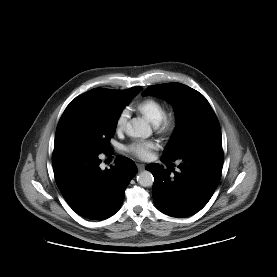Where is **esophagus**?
I'll list each match as a JSON object with an SVG mask.
<instances>
[{
	"label": "esophagus",
	"instance_id": "1",
	"mask_svg": "<svg viewBox=\"0 0 277 277\" xmlns=\"http://www.w3.org/2000/svg\"><path fill=\"white\" fill-rule=\"evenodd\" d=\"M137 167L139 170H144L145 165L144 164H137Z\"/></svg>",
	"mask_w": 277,
	"mask_h": 277
}]
</instances>
